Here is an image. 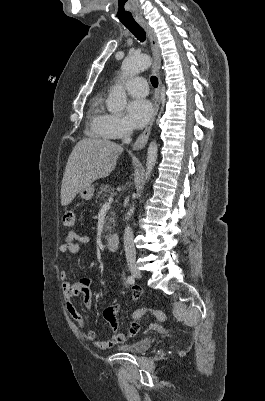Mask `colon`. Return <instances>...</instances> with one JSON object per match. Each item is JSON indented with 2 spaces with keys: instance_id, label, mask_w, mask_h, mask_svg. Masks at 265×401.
Listing matches in <instances>:
<instances>
[{
  "instance_id": "1",
  "label": "colon",
  "mask_w": 265,
  "mask_h": 401,
  "mask_svg": "<svg viewBox=\"0 0 265 401\" xmlns=\"http://www.w3.org/2000/svg\"><path fill=\"white\" fill-rule=\"evenodd\" d=\"M75 223V213L73 211H66L63 215V224L66 227H72ZM152 315L156 320L163 322L166 320V315L160 311V310H155L152 308H140L137 309L136 311L133 312L132 314V322L131 326L128 332V335L133 337L135 336L138 331H139V324L137 320L145 315Z\"/></svg>"
}]
</instances>
